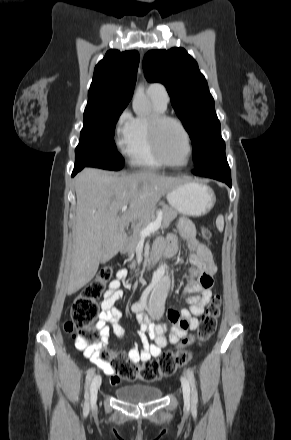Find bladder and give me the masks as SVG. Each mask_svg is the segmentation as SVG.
<instances>
[{
	"mask_svg": "<svg viewBox=\"0 0 291 440\" xmlns=\"http://www.w3.org/2000/svg\"><path fill=\"white\" fill-rule=\"evenodd\" d=\"M115 395L128 403L153 402L161 397L162 390L157 386L130 385L117 388Z\"/></svg>",
	"mask_w": 291,
	"mask_h": 440,
	"instance_id": "1",
	"label": "bladder"
}]
</instances>
